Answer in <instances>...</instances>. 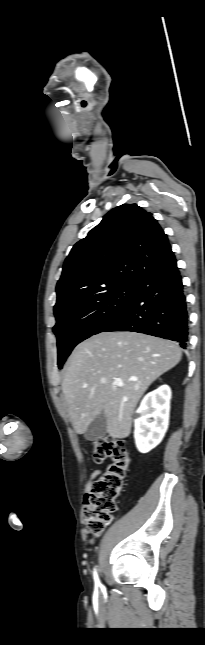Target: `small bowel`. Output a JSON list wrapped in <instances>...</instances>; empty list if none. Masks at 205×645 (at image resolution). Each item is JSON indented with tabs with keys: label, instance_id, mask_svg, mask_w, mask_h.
<instances>
[{
	"label": "small bowel",
	"instance_id": "1",
	"mask_svg": "<svg viewBox=\"0 0 205 645\" xmlns=\"http://www.w3.org/2000/svg\"><path fill=\"white\" fill-rule=\"evenodd\" d=\"M100 473H101V471H100V470H95V471L91 474L90 479L88 480V482H87V484H86V494H87V495L90 493V491H91V489H92V486H93V483H94L95 479L100 475Z\"/></svg>",
	"mask_w": 205,
	"mask_h": 645
}]
</instances>
